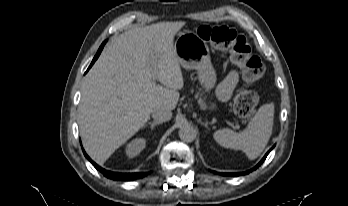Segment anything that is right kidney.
Here are the masks:
<instances>
[{
	"label": "right kidney",
	"instance_id": "ca27d5eb",
	"mask_svg": "<svg viewBox=\"0 0 348 206\" xmlns=\"http://www.w3.org/2000/svg\"><path fill=\"white\" fill-rule=\"evenodd\" d=\"M146 140L144 138H136L129 142L125 148V153L129 158H134L140 154L145 148Z\"/></svg>",
	"mask_w": 348,
	"mask_h": 206
}]
</instances>
